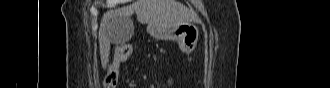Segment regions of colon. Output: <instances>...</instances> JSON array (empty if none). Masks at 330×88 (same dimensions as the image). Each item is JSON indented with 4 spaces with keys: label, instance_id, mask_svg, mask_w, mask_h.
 <instances>
[{
    "label": "colon",
    "instance_id": "colon-1",
    "mask_svg": "<svg viewBox=\"0 0 330 88\" xmlns=\"http://www.w3.org/2000/svg\"><path fill=\"white\" fill-rule=\"evenodd\" d=\"M123 45H127L129 51L132 50L131 45H129V44H123ZM127 57L128 56L120 55V53L118 52V49L116 50V52L114 54V61L110 65L109 71H108V73H107V75L104 79V87L105 88H114L116 86L117 81H118V77H119L120 66H121V64H123L127 60Z\"/></svg>",
    "mask_w": 330,
    "mask_h": 88
}]
</instances>
